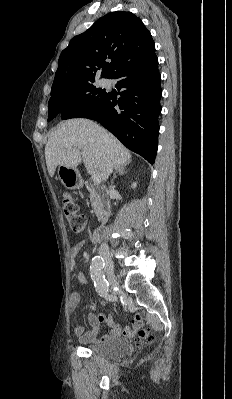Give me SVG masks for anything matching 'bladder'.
<instances>
[{
	"instance_id": "obj_1",
	"label": "bladder",
	"mask_w": 232,
	"mask_h": 399,
	"mask_svg": "<svg viewBox=\"0 0 232 399\" xmlns=\"http://www.w3.org/2000/svg\"><path fill=\"white\" fill-rule=\"evenodd\" d=\"M93 354L108 360L123 358L130 351L127 339L117 337L103 343L92 344L87 347Z\"/></svg>"
}]
</instances>
